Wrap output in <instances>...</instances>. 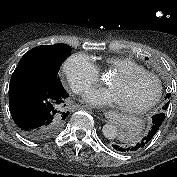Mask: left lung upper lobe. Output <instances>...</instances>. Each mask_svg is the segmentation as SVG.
Returning a JSON list of instances; mask_svg holds the SVG:
<instances>
[{"mask_svg":"<svg viewBox=\"0 0 177 177\" xmlns=\"http://www.w3.org/2000/svg\"><path fill=\"white\" fill-rule=\"evenodd\" d=\"M168 107V103L165 104V106L163 107V111L167 110Z\"/></svg>","mask_w":177,"mask_h":177,"instance_id":"1","label":"left lung upper lobe"}]
</instances>
